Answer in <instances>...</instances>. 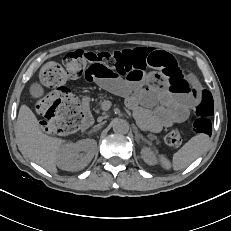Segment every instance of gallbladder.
<instances>
[{
  "instance_id": "obj_1",
  "label": "gallbladder",
  "mask_w": 231,
  "mask_h": 231,
  "mask_svg": "<svg viewBox=\"0 0 231 231\" xmlns=\"http://www.w3.org/2000/svg\"><path fill=\"white\" fill-rule=\"evenodd\" d=\"M30 94L34 98L42 96L43 89H42V87L40 85H38L37 83H34L30 87Z\"/></svg>"
}]
</instances>
